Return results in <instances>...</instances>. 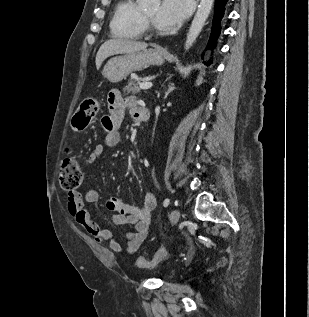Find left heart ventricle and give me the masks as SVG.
Listing matches in <instances>:
<instances>
[{"mask_svg": "<svg viewBox=\"0 0 309 317\" xmlns=\"http://www.w3.org/2000/svg\"><path fill=\"white\" fill-rule=\"evenodd\" d=\"M158 7L153 8L152 10L146 12V16L156 25L155 23V18L157 16L158 13Z\"/></svg>", "mask_w": 309, "mask_h": 317, "instance_id": "left-heart-ventricle-1", "label": "left heart ventricle"}]
</instances>
